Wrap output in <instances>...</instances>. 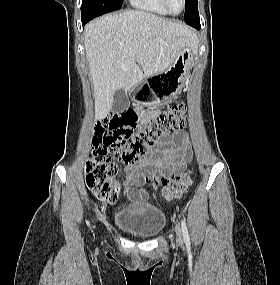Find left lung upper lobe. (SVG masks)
Listing matches in <instances>:
<instances>
[{
	"label": "left lung upper lobe",
	"mask_w": 280,
	"mask_h": 285,
	"mask_svg": "<svg viewBox=\"0 0 280 285\" xmlns=\"http://www.w3.org/2000/svg\"><path fill=\"white\" fill-rule=\"evenodd\" d=\"M184 20L190 26L200 24L197 0H185Z\"/></svg>",
	"instance_id": "obj_1"
}]
</instances>
